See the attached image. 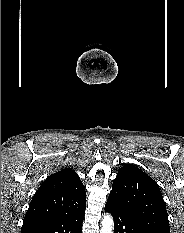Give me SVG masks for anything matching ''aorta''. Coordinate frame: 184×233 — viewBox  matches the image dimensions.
Segmentation results:
<instances>
[{
    "label": "aorta",
    "mask_w": 184,
    "mask_h": 233,
    "mask_svg": "<svg viewBox=\"0 0 184 233\" xmlns=\"http://www.w3.org/2000/svg\"><path fill=\"white\" fill-rule=\"evenodd\" d=\"M100 233H113V218L110 215L104 216Z\"/></svg>",
    "instance_id": "762f6f07"
}]
</instances>
